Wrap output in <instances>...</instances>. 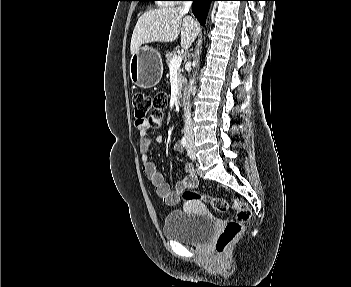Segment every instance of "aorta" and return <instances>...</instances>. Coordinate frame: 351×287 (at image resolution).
Instances as JSON below:
<instances>
[{"instance_id": "762f6f07", "label": "aorta", "mask_w": 351, "mask_h": 287, "mask_svg": "<svg viewBox=\"0 0 351 287\" xmlns=\"http://www.w3.org/2000/svg\"><path fill=\"white\" fill-rule=\"evenodd\" d=\"M195 75H196V72H195V74H193V78L190 79V82H189V93H190V91H192V88L194 87Z\"/></svg>"}]
</instances>
